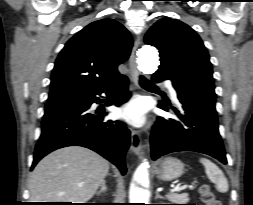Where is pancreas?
<instances>
[{
  "label": "pancreas",
  "instance_id": "cf45deb5",
  "mask_svg": "<svg viewBox=\"0 0 253 205\" xmlns=\"http://www.w3.org/2000/svg\"><path fill=\"white\" fill-rule=\"evenodd\" d=\"M166 198L173 202L174 204H185L189 201V196L187 193H170L166 196Z\"/></svg>",
  "mask_w": 253,
  "mask_h": 205
}]
</instances>
